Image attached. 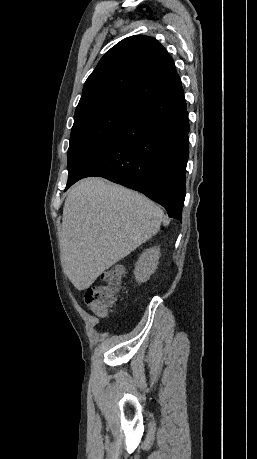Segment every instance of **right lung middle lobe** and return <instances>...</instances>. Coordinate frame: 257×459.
I'll return each instance as SVG.
<instances>
[{"label": "right lung middle lobe", "mask_w": 257, "mask_h": 459, "mask_svg": "<svg viewBox=\"0 0 257 459\" xmlns=\"http://www.w3.org/2000/svg\"><path fill=\"white\" fill-rule=\"evenodd\" d=\"M135 111L124 106H109L74 118L68 149V178L104 148Z\"/></svg>", "instance_id": "right-lung-middle-lobe-1"}]
</instances>
